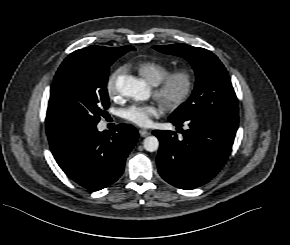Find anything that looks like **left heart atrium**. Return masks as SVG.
<instances>
[{
	"mask_svg": "<svg viewBox=\"0 0 290 245\" xmlns=\"http://www.w3.org/2000/svg\"><path fill=\"white\" fill-rule=\"evenodd\" d=\"M162 112L163 108L157 103H136L124 110L123 117L139 126H149L152 119L159 117Z\"/></svg>",
	"mask_w": 290,
	"mask_h": 245,
	"instance_id": "left-heart-atrium-1",
	"label": "left heart atrium"
}]
</instances>
